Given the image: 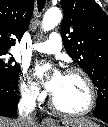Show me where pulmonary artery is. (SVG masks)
Masks as SVG:
<instances>
[{
  "label": "pulmonary artery",
  "mask_w": 108,
  "mask_h": 127,
  "mask_svg": "<svg viewBox=\"0 0 108 127\" xmlns=\"http://www.w3.org/2000/svg\"><path fill=\"white\" fill-rule=\"evenodd\" d=\"M32 48L38 52L47 54L58 53L62 48L61 37L58 33L53 32L50 34L47 41L36 43Z\"/></svg>",
  "instance_id": "1"
}]
</instances>
